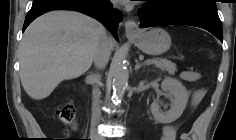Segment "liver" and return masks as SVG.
<instances>
[{"instance_id": "liver-1", "label": "liver", "mask_w": 236, "mask_h": 140, "mask_svg": "<svg viewBox=\"0 0 236 140\" xmlns=\"http://www.w3.org/2000/svg\"><path fill=\"white\" fill-rule=\"evenodd\" d=\"M106 37L100 22L79 12L52 11L38 17L19 46L20 79L26 93L42 100L62 81L84 74Z\"/></svg>"}]
</instances>
